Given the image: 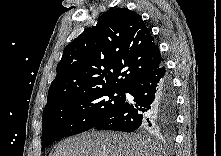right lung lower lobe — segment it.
Here are the masks:
<instances>
[{"instance_id":"obj_1","label":"right lung lower lobe","mask_w":221,"mask_h":156,"mask_svg":"<svg viewBox=\"0 0 221 156\" xmlns=\"http://www.w3.org/2000/svg\"><path fill=\"white\" fill-rule=\"evenodd\" d=\"M125 92L133 100L125 99L118 110L94 126V129L133 132L143 127L173 128L176 97L164 64L133 81Z\"/></svg>"}]
</instances>
